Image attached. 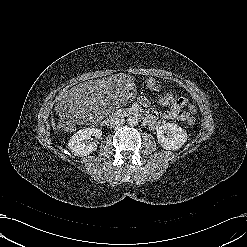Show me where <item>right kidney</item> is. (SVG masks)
Here are the masks:
<instances>
[{
  "label": "right kidney",
  "instance_id": "obj_1",
  "mask_svg": "<svg viewBox=\"0 0 247 247\" xmlns=\"http://www.w3.org/2000/svg\"><path fill=\"white\" fill-rule=\"evenodd\" d=\"M102 132L96 128H85L76 132L69 140L68 148L75 156H86L97 149L95 142L87 141L91 136L100 138Z\"/></svg>",
  "mask_w": 247,
  "mask_h": 247
}]
</instances>
